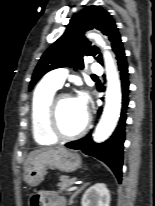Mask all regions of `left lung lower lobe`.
<instances>
[{"label":"left lung lower lobe","instance_id":"0a47b994","mask_svg":"<svg viewBox=\"0 0 155 206\" xmlns=\"http://www.w3.org/2000/svg\"><path fill=\"white\" fill-rule=\"evenodd\" d=\"M116 54L118 70L120 72L121 87H122V110L118 126L113 135L103 143H95L91 138V134L76 141H71L65 144L66 147L71 149H80L85 154L94 156L99 160L105 162L116 175L119 182L122 178V165H123V143L125 140V121L126 109L128 106V65L123 46H121ZM101 108L98 110L100 115Z\"/></svg>","mask_w":155,"mask_h":206}]
</instances>
